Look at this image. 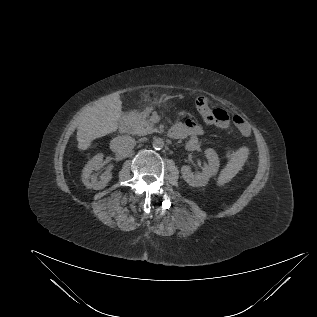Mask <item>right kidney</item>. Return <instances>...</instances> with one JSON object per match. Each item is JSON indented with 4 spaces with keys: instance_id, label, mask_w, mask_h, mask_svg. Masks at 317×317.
I'll return each mask as SVG.
<instances>
[{
    "instance_id": "1",
    "label": "right kidney",
    "mask_w": 317,
    "mask_h": 317,
    "mask_svg": "<svg viewBox=\"0 0 317 317\" xmlns=\"http://www.w3.org/2000/svg\"><path fill=\"white\" fill-rule=\"evenodd\" d=\"M102 164L103 155L97 154L84 167L82 182L87 188L100 190L105 188L108 182L111 180L112 173L110 171H105L99 180L92 174L93 171L98 170Z\"/></svg>"
}]
</instances>
